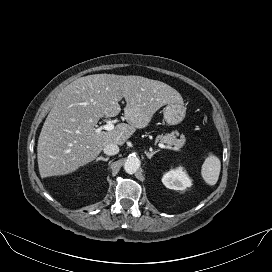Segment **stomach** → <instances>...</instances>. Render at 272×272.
<instances>
[{
	"label": "stomach",
	"mask_w": 272,
	"mask_h": 272,
	"mask_svg": "<svg viewBox=\"0 0 272 272\" xmlns=\"http://www.w3.org/2000/svg\"><path fill=\"white\" fill-rule=\"evenodd\" d=\"M186 116V107L183 102H173L167 104L163 110V117L168 125H177Z\"/></svg>",
	"instance_id": "1"
}]
</instances>
